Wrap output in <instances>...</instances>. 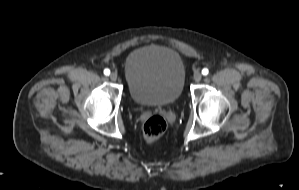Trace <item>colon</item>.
<instances>
[{"label":"colon","instance_id":"obj_1","mask_svg":"<svg viewBox=\"0 0 299 190\" xmlns=\"http://www.w3.org/2000/svg\"><path fill=\"white\" fill-rule=\"evenodd\" d=\"M167 130V122L160 116L148 119L143 126V137L147 142L158 140Z\"/></svg>","mask_w":299,"mask_h":190}]
</instances>
